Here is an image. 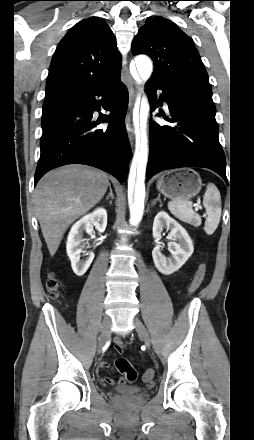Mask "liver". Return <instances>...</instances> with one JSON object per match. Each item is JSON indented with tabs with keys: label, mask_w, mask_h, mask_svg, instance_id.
<instances>
[{
	"label": "liver",
	"mask_w": 254,
	"mask_h": 440,
	"mask_svg": "<svg viewBox=\"0 0 254 440\" xmlns=\"http://www.w3.org/2000/svg\"><path fill=\"white\" fill-rule=\"evenodd\" d=\"M108 175L85 165H66L45 174L34 190V205L49 253L54 256L65 231L105 195Z\"/></svg>",
	"instance_id": "liver-1"
}]
</instances>
